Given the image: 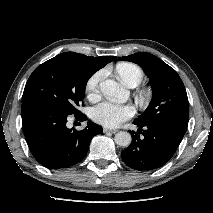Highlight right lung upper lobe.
Wrapping results in <instances>:
<instances>
[{"label": "right lung upper lobe", "mask_w": 213, "mask_h": 213, "mask_svg": "<svg viewBox=\"0 0 213 213\" xmlns=\"http://www.w3.org/2000/svg\"><path fill=\"white\" fill-rule=\"evenodd\" d=\"M65 56L84 62L89 65L95 72L103 68L106 64L112 62L115 56L89 57L75 52L62 53Z\"/></svg>", "instance_id": "right-lung-upper-lobe-1"}]
</instances>
